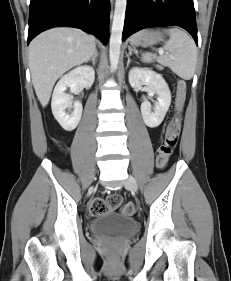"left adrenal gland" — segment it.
Masks as SVG:
<instances>
[{"label": "left adrenal gland", "instance_id": "a2214340", "mask_svg": "<svg viewBox=\"0 0 231 281\" xmlns=\"http://www.w3.org/2000/svg\"><path fill=\"white\" fill-rule=\"evenodd\" d=\"M126 57L128 58L127 60V67L129 66L131 59H130V55L126 53Z\"/></svg>", "mask_w": 231, "mask_h": 281}]
</instances>
